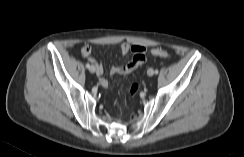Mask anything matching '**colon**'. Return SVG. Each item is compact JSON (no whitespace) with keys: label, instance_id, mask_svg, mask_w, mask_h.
<instances>
[{"label":"colon","instance_id":"1","mask_svg":"<svg viewBox=\"0 0 244 157\" xmlns=\"http://www.w3.org/2000/svg\"><path fill=\"white\" fill-rule=\"evenodd\" d=\"M151 54L154 55V56H159V57H168L169 56V53L162 49V48H154L151 50ZM135 59L138 61V62H141V63H144L145 60H146V57H145V51H142L140 52L139 54H137L135 56ZM139 90V85L137 83L133 84L130 88V93L131 95H135Z\"/></svg>","mask_w":244,"mask_h":157}]
</instances>
